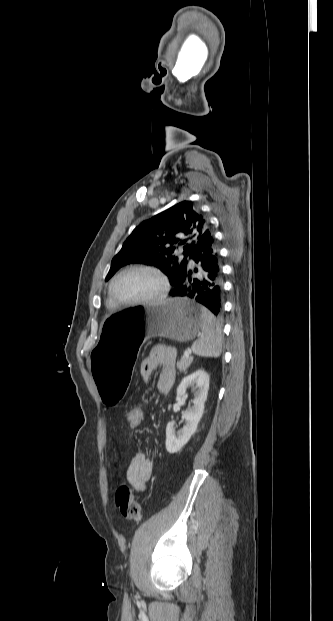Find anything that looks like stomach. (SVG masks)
Segmentation results:
<instances>
[{
    "instance_id": "1",
    "label": "stomach",
    "mask_w": 333,
    "mask_h": 621,
    "mask_svg": "<svg viewBox=\"0 0 333 621\" xmlns=\"http://www.w3.org/2000/svg\"><path fill=\"white\" fill-rule=\"evenodd\" d=\"M202 306L187 298L134 306L108 314L92 348V379L102 409L115 412L132 386L142 340L164 337L188 342L201 330Z\"/></svg>"
}]
</instances>
